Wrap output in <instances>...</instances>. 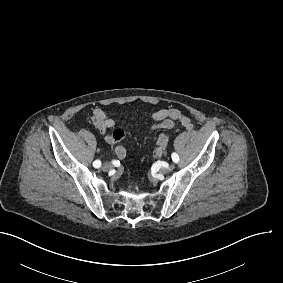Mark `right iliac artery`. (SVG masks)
I'll list each match as a JSON object with an SVG mask.
<instances>
[{
  "label": "right iliac artery",
  "mask_w": 283,
  "mask_h": 283,
  "mask_svg": "<svg viewBox=\"0 0 283 283\" xmlns=\"http://www.w3.org/2000/svg\"><path fill=\"white\" fill-rule=\"evenodd\" d=\"M93 166H94L95 168H99V167L101 166V161H100V160H95V161L93 162Z\"/></svg>",
  "instance_id": "right-iliac-artery-1"
}]
</instances>
